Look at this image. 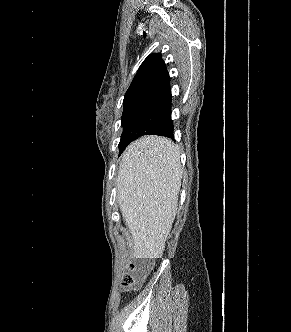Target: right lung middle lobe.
I'll return each instance as SVG.
<instances>
[{
	"label": "right lung middle lobe",
	"instance_id": "right-lung-middle-lobe-1",
	"mask_svg": "<svg viewBox=\"0 0 291 332\" xmlns=\"http://www.w3.org/2000/svg\"><path fill=\"white\" fill-rule=\"evenodd\" d=\"M145 97L143 96H137V97H132L128 99H124L123 101V114L121 118V124L123 127V133L121 136V140L119 143V148L121 149L123 142H124V131L127 127V125L130 123L131 119L133 118V115L135 113V109L138 107V105L142 102V100Z\"/></svg>",
	"mask_w": 291,
	"mask_h": 332
}]
</instances>
